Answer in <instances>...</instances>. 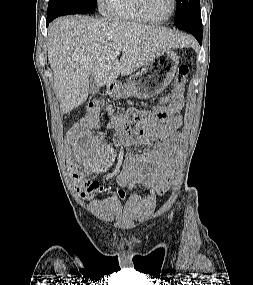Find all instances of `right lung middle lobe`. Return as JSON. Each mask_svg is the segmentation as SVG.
<instances>
[{
    "instance_id": "right-lung-middle-lobe-1",
    "label": "right lung middle lobe",
    "mask_w": 253,
    "mask_h": 285,
    "mask_svg": "<svg viewBox=\"0 0 253 285\" xmlns=\"http://www.w3.org/2000/svg\"><path fill=\"white\" fill-rule=\"evenodd\" d=\"M96 6V0H49L48 17L87 13Z\"/></svg>"
}]
</instances>
